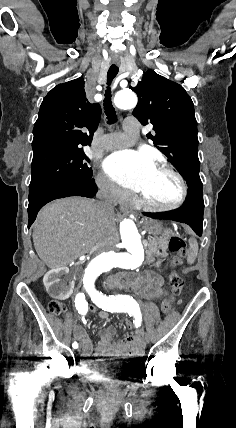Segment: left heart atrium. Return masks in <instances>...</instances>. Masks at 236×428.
<instances>
[{
  "label": "left heart atrium",
  "instance_id": "1",
  "mask_svg": "<svg viewBox=\"0 0 236 428\" xmlns=\"http://www.w3.org/2000/svg\"><path fill=\"white\" fill-rule=\"evenodd\" d=\"M155 169V162L146 154L133 150L117 152L104 163V171L114 181L140 192L145 179Z\"/></svg>",
  "mask_w": 236,
  "mask_h": 428
}]
</instances>
